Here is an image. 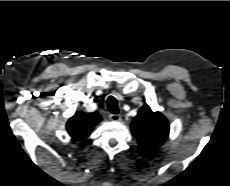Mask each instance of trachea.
<instances>
[{
	"mask_svg": "<svg viewBox=\"0 0 230 186\" xmlns=\"http://www.w3.org/2000/svg\"><path fill=\"white\" fill-rule=\"evenodd\" d=\"M107 108L112 114L119 112L117 100L113 96L107 98Z\"/></svg>",
	"mask_w": 230,
	"mask_h": 186,
	"instance_id": "trachea-1",
	"label": "trachea"
}]
</instances>
